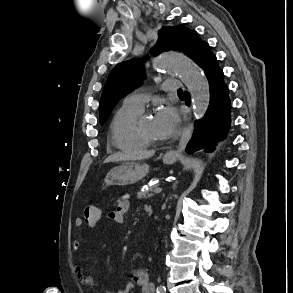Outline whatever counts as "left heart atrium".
Segmentation results:
<instances>
[{"label":"left heart atrium","instance_id":"obj_1","mask_svg":"<svg viewBox=\"0 0 293 293\" xmlns=\"http://www.w3.org/2000/svg\"><path fill=\"white\" fill-rule=\"evenodd\" d=\"M160 131L165 138L174 135L178 128V113L172 106H164L156 115Z\"/></svg>","mask_w":293,"mask_h":293}]
</instances>
